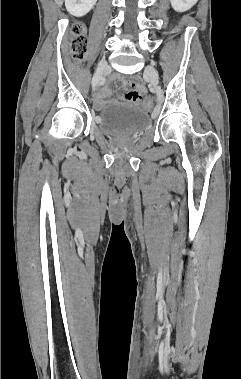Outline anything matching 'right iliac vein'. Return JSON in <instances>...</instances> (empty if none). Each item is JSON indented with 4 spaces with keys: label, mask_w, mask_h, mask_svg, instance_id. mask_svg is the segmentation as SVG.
Wrapping results in <instances>:
<instances>
[{
    "label": "right iliac vein",
    "mask_w": 241,
    "mask_h": 379,
    "mask_svg": "<svg viewBox=\"0 0 241 379\" xmlns=\"http://www.w3.org/2000/svg\"><path fill=\"white\" fill-rule=\"evenodd\" d=\"M109 69V66L105 60L100 61L97 71L92 79V88L95 89L97 85L99 84L100 80L102 79V76L104 72H106Z\"/></svg>",
    "instance_id": "right-iliac-vein-1"
}]
</instances>
